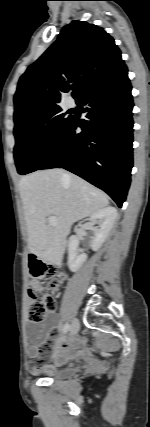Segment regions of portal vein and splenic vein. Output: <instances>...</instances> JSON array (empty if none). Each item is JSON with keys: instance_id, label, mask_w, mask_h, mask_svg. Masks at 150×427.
Wrapping results in <instances>:
<instances>
[{"instance_id": "1", "label": "portal vein and splenic vein", "mask_w": 150, "mask_h": 427, "mask_svg": "<svg viewBox=\"0 0 150 427\" xmlns=\"http://www.w3.org/2000/svg\"><path fill=\"white\" fill-rule=\"evenodd\" d=\"M48 223L51 226H56L57 225V220H56V218L54 216H49Z\"/></svg>"}]
</instances>
